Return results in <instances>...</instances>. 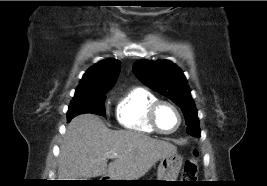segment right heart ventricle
<instances>
[{
	"mask_svg": "<svg viewBox=\"0 0 267 186\" xmlns=\"http://www.w3.org/2000/svg\"><path fill=\"white\" fill-rule=\"evenodd\" d=\"M157 97L142 87H136L124 95L116 106V119L119 126L127 131L154 134L155 130L148 122L150 105Z\"/></svg>",
	"mask_w": 267,
	"mask_h": 186,
	"instance_id": "1",
	"label": "right heart ventricle"
}]
</instances>
